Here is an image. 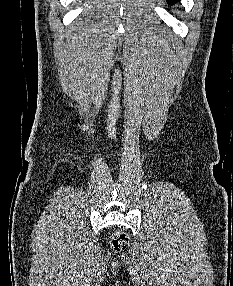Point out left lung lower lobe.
Returning a JSON list of instances; mask_svg holds the SVG:
<instances>
[{"mask_svg":"<svg viewBox=\"0 0 233 286\" xmlns=\"http://www.w3.org/2000/svg\"><path fill=\"white\" fill-rule=\"evenodd\" d=\"M179 0H168V3H175L178 2Z\"/></svg>","mask_w":233,"mask_h":286,"instance_id":"obj_1","label":"left lung lower lobe"}]
</instances>
